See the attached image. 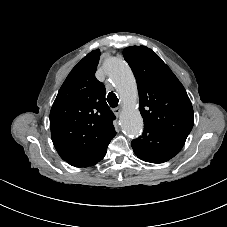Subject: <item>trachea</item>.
Here are the masks:
<instances>
[{
  "label": "trachea",
  "instance_id": "3493384b",
  "mask_svg": "<svg viewBox=\"0 0 227 227\" xmlns=\"http://www.w3.org/2000/svg\"><path fill=\"white\" fill-rule=\"evenodd\" d=\"M107 101L111 108H116L118 106V98L115 93L110 92L107 96Z\"/></svg>",
  "mask_w": 227,
  "mask_h": 227
}]
</instances>
